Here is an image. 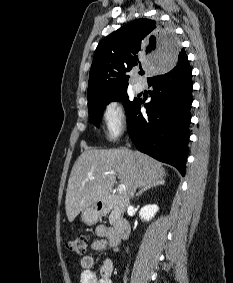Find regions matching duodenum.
Wrapping results in <instances>:
<instances>
[{"label": "duodenum", "instance_id": "1", "mask_svg": "<svg viewBox=\"0 0 233 283\" xmlns=\"http://www.w3.org/2000/svg\"><path fill=\"white\" fill-rule=\"evenodd\" d=\"M127 204V200L124 197H112L98 203V211L100 213H108L113 209H123ZM113 230L115 237L118 241L126 239L130 233L129 223L123 218H117L114 221Z\"/></svg>", "mask_w": 233, "mask_h": 283}]
</instances>
